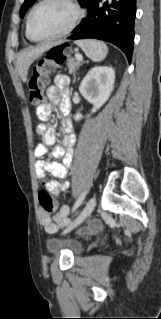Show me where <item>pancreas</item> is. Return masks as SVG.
I'll return each instance as SVG.
<instances>
[{
  "label": "pancreas",
  "mask_w": 161,
  "mask_h": 319,
  "mask_svg": "<svg viewBox=\"0 0 161 319\" xmlns=\"http://www.w3.org/2000/svg\"><path fill=\"white\" fill-rule=\"evenodd\" d=\"M79 66H80V61L76 59H70L67 63L69 73H75Z\"/></svg>",
  "instance_id": "pancreas-1"
}]
</instances>
